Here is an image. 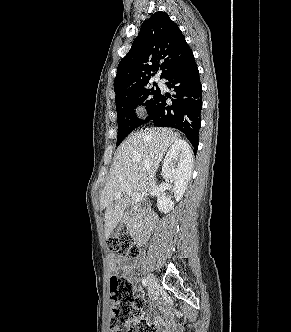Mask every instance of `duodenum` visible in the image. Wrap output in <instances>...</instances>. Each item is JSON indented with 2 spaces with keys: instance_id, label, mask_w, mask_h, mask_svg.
Masks as SVG:
<instances>
[{
  "instance_id": "obj_1",
  "label": "duodenum",
  "mask_w": 291,
  "mask_h": 332,
  "mask_svg": "<svg viewBox=\"0 0 291 332\" xmlns=\"http://www.w3.org/2000/svg\"><path fill=\"white\" fill-rule=\"evenodd\" d=\"M157 218L153 214L142 213L140 218V223L136 231V238L138 243L144 244L151 232L153 231Z\"/></svg>"
}]
</instances>
